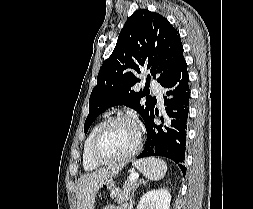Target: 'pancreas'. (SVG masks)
<instances>
[{"instance_id":"cf45deb5","label":"pancreas","mask_w":253,"mask_h":209,"mask_svg":"<svg viewBox=\"0 0 253 209\" xmlns=\"http://www.w3.org/2000/svg\"><path fill=\"white\" fill-rule=\"evenodd\" d=\"M135 186V182L127 180L124 183L122 189L112 194L111 198H115V202L117 203H123L124 201H127L132 197L135 191Z\"/></svg>"}]
</instances>
